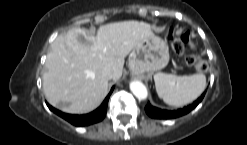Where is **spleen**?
Masks as SVG:
<instances>
[{
	"label": "spleen",
	"instance_id": "spleen-1",
	"mask_svg": "<svg viewBox=\"0 0 247 145\" xmlns=\"http://www.w3.org/2000/svg\"><path fill=\"white\" fill-rule=\"evenodd\" d=\"M154 82L158 96L166 104L180 107L197 99L206 87L204 74L176 76L172 74L157 73Z\"/></svg>",
	"mask_w": 247,
	"mask_h": 145
}]
</instances>
